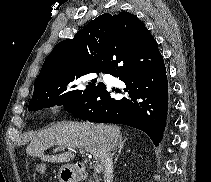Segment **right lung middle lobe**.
Wrapping results in <instances>:
<instances>
[{
    "instance_id": "right-lung-middle-lobe-1",
    "label": "right lung middle lobe",
    "mask_w": 211,
    "mask_h": 182,
    "mask_svg": "<svg viewBox=\"0 0 211 182\" xmlns=\"http://www.w3.org/2000/svg\"><path fill=\"white\" fill-rule=\"evenodd\" d=\"M101 71L92 70L38 87L34 90L28 110L37 111L54 105H64L66 111H73L97 89V79H92L91 75Z\"/></svg>"
}]
</instances>
